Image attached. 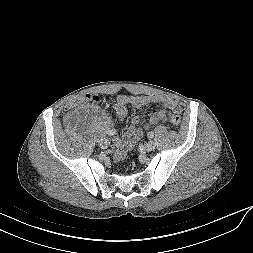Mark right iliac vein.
Instances as JSON below:
<instances>
[{
	"label": "right iliac vein",
	"mask_w": 253,
	"mask_h": 253,
	"mask_svg": "<svg viewBox=\"0 0 253 253\" xmlns=\"http://www.w3.org/2000/svg\"><path fill=\"white\" fill-rule=\"evenodd\" d=\"M98 144L101 148L106 149L109 146V141L107 139H101Z\"/></svg>",
	"instance_id": "obj_1"
}]
</instances>
